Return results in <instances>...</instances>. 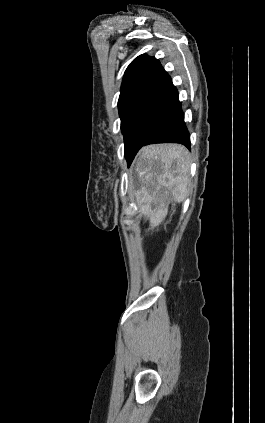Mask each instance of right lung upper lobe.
<instances>
[{"label": "right lung upper lobe", "instance_id": "cb5924a9", "mask_svg": "<svg viewBox=\"0 0 265 423\" xmlns=\"http://www.w3.org/2000/svg\"><path fill=\"white\" fill-rule=\"evenodd\" d=\"M166 75L154 57L146 54L138 56L125 71L119 101L134 95H148Z\"/></svg>", "mask_w": 265, "mask_h": 423}]
</instances>
